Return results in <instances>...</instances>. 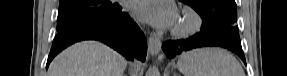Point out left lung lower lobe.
Listing matches in <instances>:
<instances>
[{"instance_id":"left-lung-lower-lobe-1","label":"left lung lower lobe","mask_w":287,"mask_h":76,"mask_svg":"<svg viewBox=\"0 0 287 76\" xmlns=\"http://www.w3.org/2000/svg\"><path fill=\"white\" fill-rule=\"evenodd\" d=\"M206 46H221L227 48L243 60L246 64L244 53L242 51L240 38L227 36L210 30L202 24L201 31L189 39L167 41L162 45V49L166 53L168 58H173L180 54L182 51H187L197 47Z\"/></svg>"}]
</instances>
